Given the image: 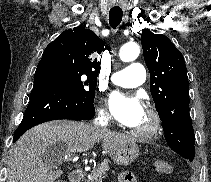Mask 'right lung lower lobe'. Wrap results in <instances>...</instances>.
<instances>
[{"label":"right lung lower lobe","instance_id":"obj_1","mask_svg":"<svg viewBox=\"0 0 211 182\" xmlns=\"http://www.w3.org/2000/svg\"><path fill=\"white\" fill-rule=\"evenodd\" d=\"M94 115L93 103L81 98L52 67L40 61L29 105L15 131L13 141L43 122L57 119L89 120Z\"/></svg>","mask_w":211,"mask_h":182}]
</instances>
